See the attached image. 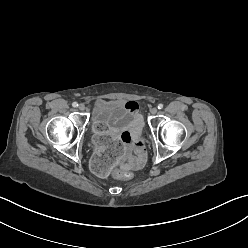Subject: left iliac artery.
<instances>
[{
    "mask_svg": "<svg viewBox=\"0 0 248 248\" xmlns=\"http://www.w3.org/2000/svg\"><path fill=\"white\" fill-rule=\"evenodd\" d=\"M163 108V104H158V109H162Z\"/></svg>",
    "mask_w": 248,
    "mask_h": 248,
    "instance_id": "left-iliac-artery-1",
    "label": "left iliac artery"
}]
</instances>
